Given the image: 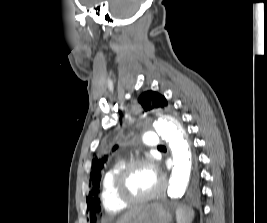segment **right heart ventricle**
<instances>
[{"mask_svg":"<svg viewBox=\"0 0 267 223\" xmlns=\"http://www.w3.org/2000/svg\"><path fill=\"white\" fill-rule=\"evenodd\" d=\"M123 160H117L104 174L101 187V202L107 212L116 213L125 208L115 195L113 190V181L119 170L124 165Z\"/></svg>","mask_w":267,"mask_h":223,"instance_id":"1","label":"right heart ventricle"}]
</instances>
